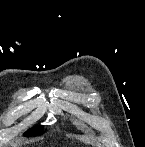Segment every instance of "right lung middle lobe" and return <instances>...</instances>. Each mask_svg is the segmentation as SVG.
<instances>
[{
	"mask_svg": "<svg viewBox=\"0 0 145 147\" xmlns=\"http://www.w3.org/2000/svg\"><path fill=\"white\" fill-rule=\"evenodd\" d=\"M42 131H43V128L40 126H37V127H33L29 129L24 135L27 137L34 136V135L40 134Z\"/></svg>",
	"mask_w": 145,
	"mask_h": 147,
	"instance_id": "right-lung-middle-lobe-1",
	"label": "right lung middle lobe"
}]
</instances>
